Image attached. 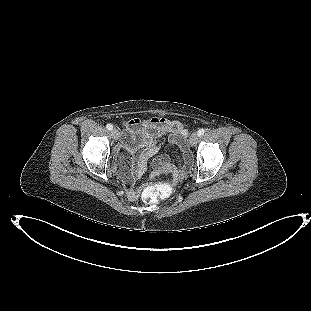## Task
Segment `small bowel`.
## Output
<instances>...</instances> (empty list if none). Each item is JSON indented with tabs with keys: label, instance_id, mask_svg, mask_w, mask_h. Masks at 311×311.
Returning <instances> with one entry per match:
<instances>
[{
	"label": "small bowel",
	"instance_id": "1",
	"mask_svg": "<svg viewBox=\"0 0 311 311\" xmlns=\"http://www.w3.org/2000/svg\"><path fill=\"white\" fill-rule=\"evenodd\" d=\"M186 135V129L179 121L163 117L128 120L124 123V132L119 145L121 149L118 159L119 167L125 161L123 169L125 174L129 172L131 176L139 178L146 172L148 162L152 157L166 150L170 145H175L183 151V158L179 164L174 165L167 156H162L156 160L154 168L156 172L162 170L170 172L174 180H180L185 176L191 164V157L187 152L185 142ZM161 136H168L169 143H158L157 139ZM138 152L139 155H136ZM128 192L132 198L138 195V190L133 187L132 183H129Z\"/></svg>",
	"mask_w": 311,
	"mask_h": 311
}]
</instances>
